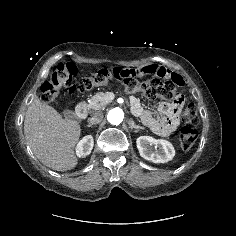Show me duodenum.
I'll list each match as a JSON object with an SVG mask.
<instances>
[{"mask_svg": "<svg viewBox=\"0 0 236 236\" xmlns=\"http://www.w3.org/2000/svg\"><path fill=\"white\" fill-rule=\"evenodd\" d=\"M75 112L80 119H82V120L86 119L88 116L87 104L84 101L78 102L75 107Z\"/></svg>", "mask_w": 236, "mask_h": 236, "instance_id": "duodenum-1", "label": "duodenum"}]
</instances>
